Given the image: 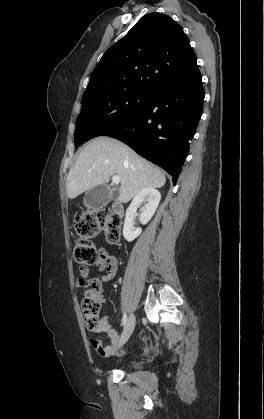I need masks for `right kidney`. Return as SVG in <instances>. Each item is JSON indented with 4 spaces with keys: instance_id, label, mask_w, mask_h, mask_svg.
Returning a JSON list of instances; mask_svg holds the SVG:
<instances>
[{
    "instance_id": "obj_1",
    "label": "right kidney",
    "mask_w": 264,
    "mask_h": 419,
    "mask_svg": "<svg viewBox=\"0 0 264 419\" xmlns=\"http://www.w3.org/2000/svg\"><path fill=\"white\" fill-rule=\"evenodd\" d=\"M160 199L161 194L155 188H145L134 197L126 211L123 227V236L128 242L133 241L142 233L141 228H135L133 225L137 208L141 204H145V208L140 214V222L142 225H145L154 215Z\"/></svg>"
}]
</instances>
